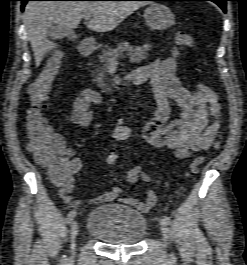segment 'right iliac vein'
I'll return each instance as SVG.
<instances>
[{"instance_id": "right-iliac-vein-1", "label": "right iliac vein", "mask_w": 247, "mask_h": 265, "mask_svg": "<svg viewBox=\"0 0 247 265\" xmlns=\"http://www.w3.org/2000/svg\"><path fill=\"white\" fill-rule=\"evenodd\" d=\"M79 226L76 221H73L70 228V238H71V259L74 258L75 254V240L78 234Z\"/></svg>"}]
</instances>
